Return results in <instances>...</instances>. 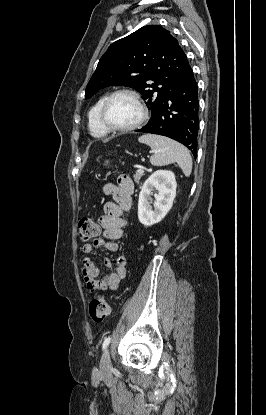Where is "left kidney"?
<instances>
[{
    "label": "left kidney",
    "instance_id": "1",
    "mask_svg": "<svg viewBox=\"0 0 266 415\" xmlns=\"http://www.w3.org/2000/svg\"><path fill=\"white\" fill-rule=\"evenodd\" d=\"M176 179L172 171L157 170L143 184L138 200V219L144 226L160 222L176 197ZM154 201L152 199L153 191ZM153 205V206H152Z\"/></svg>",
    "mask_w": 266,
    "mask_h": 415
}]
</instances>
